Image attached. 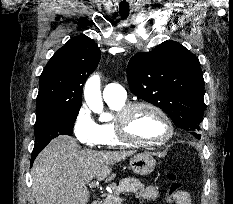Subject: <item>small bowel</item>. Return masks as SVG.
I'll return each mask as SVG.
<instances>
[{
    "label": "small bowel",
    "instance_id": "small-bowel-1",
    "mask_svg": "<svg viewBox=\"0 0 233 204\" xmlns=\"http://www.w3.org/2000/svg\"><path fill=\"white\" fill-rule=\"evenodd\" d=\"M159 192L157 188L153 186H148L143 188L139 193H138V198L141 204L149 201H154L158 198ZM175 204H192L191 203V198L190 195L186 192L183 191L180 193L177 198L173 201Z\"/></svg>",
    "mask_w": 233,
    "mask_h": 204
}]
</instances>
